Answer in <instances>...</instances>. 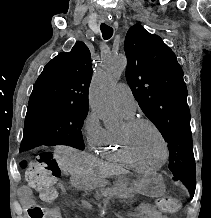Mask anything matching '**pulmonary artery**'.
<instances>
[{"label": "pulmonary artery", "mask_w": 211, "mask_h": 218, "mask_svg": "<svg viewBox=\"0 0 211 218\" xmlns=\"http://www.w3.org/2000/svg\"><path fill=\"white\" fill-rule=\"evenodd\" d=\"M115 102L124 112L134 114L136 111V101L132 90L126 84H118L115 88Z\"/></svg>", "instance_id": "1"}]
</instances>
